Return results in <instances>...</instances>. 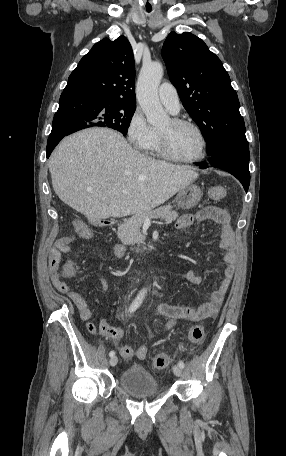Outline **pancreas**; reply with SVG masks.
Listing matches in <instances>:
<instances>
[{"mask_svg": "<svg viewBox=\"0 0 286 456\" xmlns=\"http://www.w3.org/2000/svg\"><path fill=\"white\" fill-rule=\"evenodd\" d=\"M171 205L161 206L155 210H149L146 212L135 214L130 217L124 223L119 225L117 236L120 241L125 245H135L142 243L145 239L141 233V227L144 223L145 218H161L166 223H171L178 218L176 211L172 209Z\"/></svg>", "mask_w": 286, "mask_h": 456, "instance_id": "pancreas-1", "label": "pancreas"}]
</instances>
